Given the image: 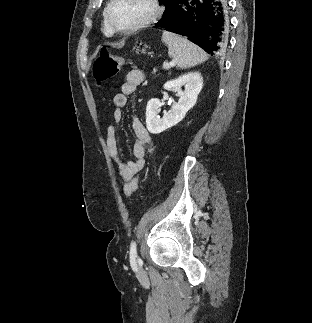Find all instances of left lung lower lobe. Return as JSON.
I'll list each match as a JSON object with an SVG mask.
<instances>
[{
    "instance_id": "obj_1",
    "label": "left lung lower lobe",
    "mask_w": 312,
    "mask_h": 323,
    "mask_svg": "<svg viewBox=\"0 0 312 323\" xmlns=\"http://www.w3.org/2000/svg\"><path fill=\"white\" fill-rule=\"evenodd\" d=\"M187 37L207 53H227L229 22L225 0H179L171 18L156 26Z\"/></svg>"
}]
</instances>
